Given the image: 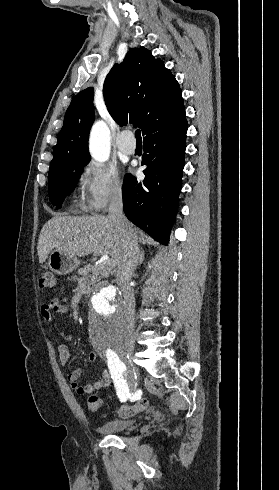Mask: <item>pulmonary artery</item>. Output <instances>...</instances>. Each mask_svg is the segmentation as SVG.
I'll list each match as a JSON object with an SVG mask.
<instances>
[{
	"instance_id": "e3ab8cb5",
	"label": "pulmonary artery",
	"mask_w": 279,
	"mask_h": 490,
	"mask_svg": "<svg viewBox=\"0 0 279 490\" xmlns=\"http://www.w3.org/2000/svg\"><path fill=\"white\" fill-rule=\"evenodd\" d=\"M121 137H115V146H120L119 149L126 155H132L136 150V137H131V128H121L119 131Z\"/></svg>"
}]
</instances>
